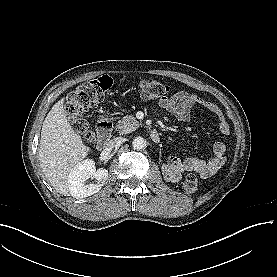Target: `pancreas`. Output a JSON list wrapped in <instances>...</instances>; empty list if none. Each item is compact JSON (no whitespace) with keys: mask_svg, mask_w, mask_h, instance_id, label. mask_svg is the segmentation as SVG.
<instances>
[{"mask_svg":"<svg viewBox=\"0 0 277 277\" xmlns=\"http://www.w3.org/2000/svg\"><path fill=\"white\" fill-rule=\"evenodd\" d=\"M139 127V122L132 115H126L117 124L119 133L127 134Z\"/></svg>","mask_w":277,"mask_h":277,"instance_id":"1","label":"pancreas"}]
</instances>
